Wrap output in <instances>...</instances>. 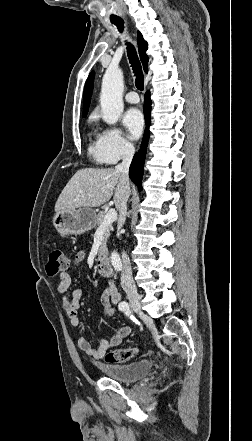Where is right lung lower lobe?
<instances>
[{
    "label": "right lung lower lobe",
    "mask_w": 252,
    "mask_h": 441,
    "mask_svg": "<svg viewBox=\"0 0 252 441\" xmlns=\"http://www.w3.org/2000/svg\"><path fill=\"white\" fill-rule=\"evenodd\" d=\"M150 113H151V99H150V92L148 91L145 95V100H144L146 132L144 135L141 149L139 150L138 153L135 154L129 169V176L131 180L138 186L139 190H142L141 181L144 172L143 165L145 160L146 147L149 139Z\"/></svg>",
    "instance_id": "1"
}]
</instances>
